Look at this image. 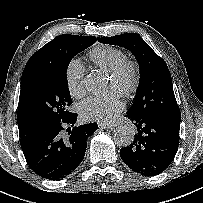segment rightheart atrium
Wrapping results in <instances>:
<instances>
[{"mask_svg": "<svg viewBox=\"0 0 203 203\" xmlns=\"http://www.w3.org/2000/svg\"><path fill=\"white\" fill-rule=\"evenodd\" d=\"M84 65L78 59H72L65 72L67 88L72 96H80L84 92Z\"/></svg>", "mask_w": 203, "mask_h": 203, "instance_id": "1", "label": "right heart atrium"}]
</instances>
